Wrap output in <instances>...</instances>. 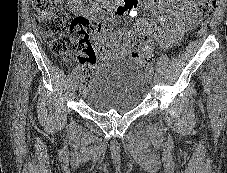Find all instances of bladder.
I'll return each instance as SVG.
<instances>
[{
	"instance_id": "1",
	"label": "bladder",
	"mask_w": 227,
	"mask_h": 173,
	"mask_svg": "<svg viewBox=\"0 0 227 173\" xmlns=\"http://www.w3.org/2000/svg\"><path fill=\"white\" fill-rule=\"evenodd\" d=\"M145 84L142 67L130 58L104 63L91 77L83 94L95 112L124 114L142 102Z\"/></svg>"
}]
</instances>
